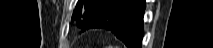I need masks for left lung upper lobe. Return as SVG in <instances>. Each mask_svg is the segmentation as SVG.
Wrapping results in <instances>:
<instances>
[{
	"label": "left lung upper lobe",
	"mask_w": 213,
	"mask_h": 48,
	"mask_svg": "<svg viewBox=\"0 0 213 48\" xmlns=\"http://www.w3.org/2000/svg\"><path fill=\"white\" fill-rule=\"evenodd\" d=\"M113 0H78L72 19L83 28L91 17L101 8L107 6Z\"/></svg>",
	"instance_id": "obj_1"
}]
</instances>
